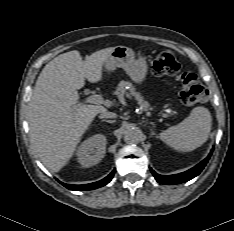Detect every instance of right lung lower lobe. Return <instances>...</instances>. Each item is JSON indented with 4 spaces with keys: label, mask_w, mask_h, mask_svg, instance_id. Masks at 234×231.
<instances>
[{
    "label": "right lung lower lobe",
    "mask_w": 234,
    "mask_h": 231,
    "mask_svg": "<svg viewBox=\"0 0 234 231\" xmlns=\"http://www.w3.org/2000/svg\"><path fill=\"white\" fill-rule=\"evenodd\" d=\"M114 173H115V170H113L104 179H102V180H100L98 182L85 184V185H71V184H65V183H62V182H60V183L62 185H64L66 188L70 189V190H92V189L102 187V186L106 185L107 183H109L111 181V179L113 178Z\"/></svg>",
    "instance_id": "obj_1"
}]
</instances>
